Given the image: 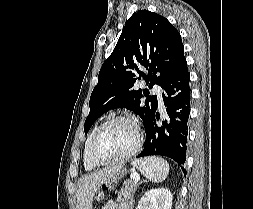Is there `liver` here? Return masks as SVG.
I'll use <instances>...</instances> for the list:
<instances>
[{
    "mask_svg": "<svg viewBox=\"0 0 253 209\" xmlns=\"http://www.w3.org/2000/svg\"><path fill=\"white\" fill-rule=\"evenodd\" d=\"M118 170L119 167H108L81 177L77 184V209H92L98 188Z\"/></svg>",
    "mask_w": 253,
    "mask_h": 209,
    "instance_id": "1",
    "label": "liver"
}]
</instances>
